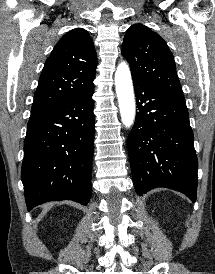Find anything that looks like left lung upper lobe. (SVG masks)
<instances>
[{
    "label": "left lung upper lobe",
    "mask_w": 215,
    "mask_h": 274,
    "mask_svg": "<svg viewBox=\"0 0 215 274\" xmlns=\"http://www.w3.org/2000/svg\"><path fill=\"white\" fill-rule=\"evenodd\" d=\"M122 55L133 80L184 99L173 55L157 33L142 24L132 25L124 37Z\"/></svg>",
    "instance_id": "left-lung-upper-lobe-1"
}]
</instances>
